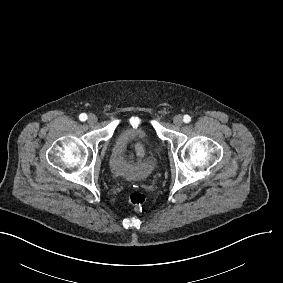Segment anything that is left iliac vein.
Returning <instances> with one entry per match:
<instances>
[{
    "mask_svg": "<svg viewBox=\"0 0 283 283\" xmlns=\"http://www.w3.org/2000/svg\"><path fill=\"white\" fill-rule=\"evenodd\" d=\"M173 123L176 125V126H181L182 123H183V118L181 115H176L174 118H173Z\"/></svg>",
    "mask_w": 283,
    "mask_h": 283,
    "instance_id": "1",
    "label": "left iliac vein"
}]
</instances>
